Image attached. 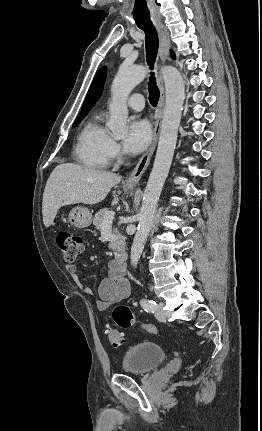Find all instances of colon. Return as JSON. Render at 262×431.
Segmentation results:
<instances>
[{"label": "colon", "instance_id": "1", "mask_svg": "<svg viewBox=\"0 0 262 431\" xmlns=\"http://www.w3.org/2000/svg\"><path fill=\"white\" fill-rule=\"evenodd\" d=\"M57 244L66 263L74 262L82 254L85 246L84 239L80 235L69 231H63L58 234ZM113 320L121 327H131L136 323L133 313L126 305H119L114 309ZM141 328L150 334L159 332L157 327L150 324H141ZM107 335L114 347H119L124 342L121 333L114 328L109 327Z\"/></svg>", "mask_w": 262, "mask_h": 431}]
</instances>
